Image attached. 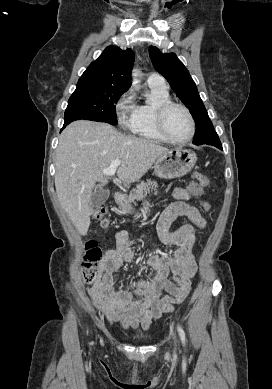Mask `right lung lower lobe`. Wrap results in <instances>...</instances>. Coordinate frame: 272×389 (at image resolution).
Returning a JSON list of instances; mask_svg holds the SVG:
<instances>
[{
  "instance_id": "1",
  "label": "right lung lower lobe",
  "mask_w": 272,
  "mask_h": 389,
  "mask_svg": "<svg viewBox=\"0 0 272 389\" xmlns=\"http://www.w3.org/2000/svg\"><path fill=\"white\" fill-rule=\"evenodd\" d=\"M75 120H78L77 118H68V119H64V125H63V128H65L69 123H71L72 121H75ZM62 128V129H63ZM61 129V131H62Z\"/></svg>"
}]
</instances>
